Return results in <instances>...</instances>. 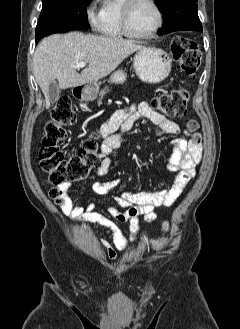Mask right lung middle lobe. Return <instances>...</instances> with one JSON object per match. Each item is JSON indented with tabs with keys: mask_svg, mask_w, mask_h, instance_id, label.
I'll return each mask as SVG.
<instances>
[{
	"mask_svg": "<svg viewBox=\"0 0 240 329\" xmlns=\"http://www.w3.org/2000/svg\"><path fill=\"white\" fill-rule=\"evenodd\" d=\"M92 0H43L36 26V42L53 34L87 29V4Z\"/></svg>",
	"mask_w": 240,
	"mask_h": 329,
	"instance_id": "dd1d6c3e",
	"label": "right lung middle lobe"
}]
</instances>
